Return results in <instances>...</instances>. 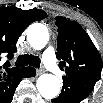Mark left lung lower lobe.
Segmentation results:
<instances>
[{"mask_svg": "<svg viewBox=\"0 0 103 103\" xmlns=\"http://www.w3.org/2000/svg\"><path fill=\"white\" fill-rule=\"evenodd\" d=\"M60 95L52 103H80L93 90L95 83L71 78H63Z\"/></svg>", "mask_w": 103, "mask_h": 103, "instance_id": "0a47b994", "label": "left lung lower lobe"}]
</instances>
